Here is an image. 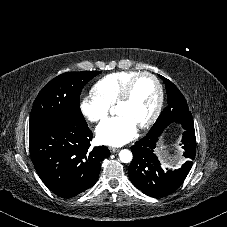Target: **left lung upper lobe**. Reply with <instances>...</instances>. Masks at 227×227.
I'll return each instance as SVG.
<instances>
[{
	"mask_svg": "<svg viewBox=\"0 0 227 227\" xmlns=\"http://www.w3.org/2000/svg\"><path fill=\"white\" fill-rule=\"evenodd\" d=\"M167 91L168 106L161 113L155 124L145 137H151L161 134L170 124L180 123L182 127L193 124L191 112L188 109L187 102L179 89L168 79L160 76Z\"/></svg>",
	"mask_w": 227,
	"mask_h": 227,
	"instance_id": "5c2ea615",
	"label": "left lung upper lobe"
}]
</instances>
